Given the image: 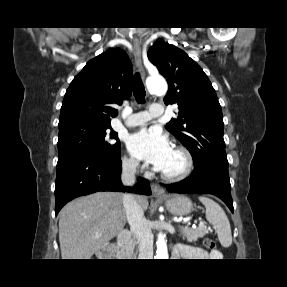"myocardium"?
Here are the masks:
<instances>
[{"instance_id": "myocardium-1", "label": "myocardium", "mask_w": 287, "mask_h": 287, "mask_svg": "<svg viewBox=\"0 0 287 287\" xmlns=\"http://www.w3.org/2000/svg\"><path fill=\"white\" fill-rule=\"evenodd\" d=\"M173 150L179 152L184 157L185 160L184 168L180 172L174 174L165 173L161 171L160 175L162 179L166 181L178 182L188 178L191 175V173L194 170L195 160L190 150L184 146H174Z\"/></svg>"}]
</instances>
